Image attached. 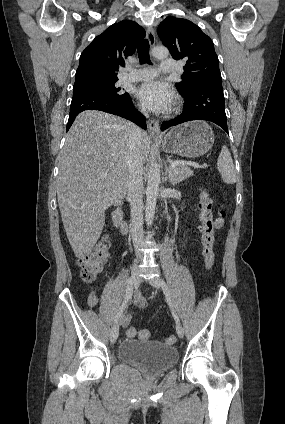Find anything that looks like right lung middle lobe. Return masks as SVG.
I'll use <instances>...</instances> for the list:
<instances>
[{
	"label": "right lung middle lobe",
	"instance_id": "right-lung-middle-lobe-1",
	"mask_svg": "<svg viewBox=\"0 0 285 424\" xmlns=\"http://www.w3.org/2000/svg\"><path fill=\"white\" fill-rule=\"evenodd\" d=\"M118 80L109 81H88L73 86V95L78 94H98L117 99H125L129 96L128 93L121 92L120 88L115 86Z\"/></svg>",
	"mask_w": 285,
	"mask_h": 424
}]
</instances>
